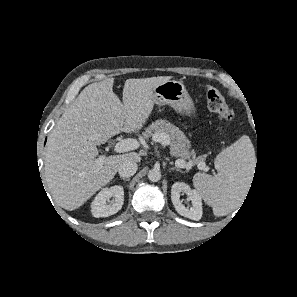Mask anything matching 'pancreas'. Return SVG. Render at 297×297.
Here are the masks:
<instances>
[{
	"instance_id": "obj_1",
	"label": "pancreas",
	"mask_w": 297,
	"mask_h": 297,
	"mask_svg": "<svg viewBox=\"0 0 297 297\" xmlns=\"http://www.w3.org/2000/svg\"><path fill=\"white\" fill-rule=\"evenodd\" d=\"M161 133L168 136V139L171 144V154L174 157L189 159L192 155H195L194 151L189 150L191 148L190 141L186 137L184 132L167 120H163V119L156 120L145 130L144 137L145 138H148L149 136L154 137L155 134H161ZM203 161H204L203 157H198L191 163L199 164Z\"/></svg>"
}]
</instances>
